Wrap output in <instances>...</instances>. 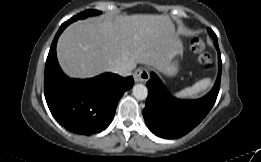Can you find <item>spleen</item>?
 I'll return each instance as SVG.
<instances>
[{
  "label": "spleen",
  "instance_id": "obj_1",
  "mask_svg": "<svg viewBox=\"0 0 261 162\" xmlns=\"http://www.w3.org/2000/svg\"><path fill=\"white\" fill-rule=\"evenodd\" d=\"M212 87V81L209 78H204L198 82H196L191 87H187L177 93L174 94V96L178 98H196L201 93L206 92L208 89Z\"/></svg>",
  "mask_w": 261,
  "mask_h": 162
}]
</instances>
